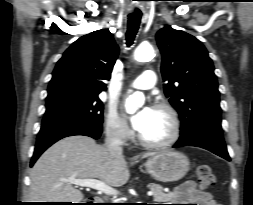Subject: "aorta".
Wrapping results in <instances>:
<instances>
[{"label":"aorta","mask_w":253,"mask_h":205,"mask_svg":"<svg viewBox=\"0 0 253 205\" xmlns=\"http://www.w3.org/2000/svg\"><path fill=\"white\" fill-rule=\"evenodd\" d=\"M134 57L140 62L150 61L154 57V49L149 44L139 45L134 51ZM144 100L145 98L142 93H135L126 101V111L134 113L138 107L143 105Z\"/></svg>","instance_id":"obj_1"}]
</instances>
